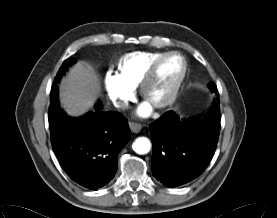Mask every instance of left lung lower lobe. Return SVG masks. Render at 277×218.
I'll return each instance as SVG.
<instances>
[{"label":"left lung lower lobe","instance_id":"obj_1","mask_svg":"<svg viewBox=\"0 0 277 218\" xmlns=\"http://www.w3.org/2000/svg\"><path fill=\"white\" fill-rule=\"evenodd\" d=\"M220 101L200 119H181L168 111L150 125L153 176L167 187L186 184L199 175L213 158L220 132Z\"/></svg>","mask_w":277,"mask_h":218}]
</instances>
